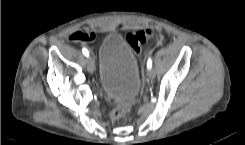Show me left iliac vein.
<instances>
[{
    "label": "left iliac vein",
    "instance_id": "1",
    "mask_svg": "<svg viewBox=\"0 0 245 145\" xmlns=\"http://www.w3.org/2000/svg\"><path fill=\"white\" fill-rule=\"evenodd\" d=\"M147 75H148V77L149 78H154L155 77V70L154 69H152V68H148V70H147Z\"/></svg>",
    "mask_w": 245,
    "mask_h": 145
}]
</instances>
